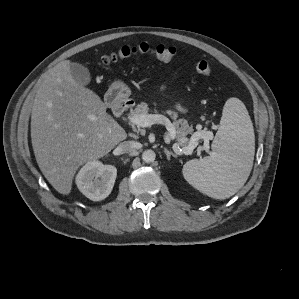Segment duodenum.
<instances>
[{"label":"duodenum","instance_id":"obj_1","mask_svg":"<svg viewBox=\"0 0 299 299\" xmlns=\"http://www.w3.org/2000/svg\"><path fill=\"white\" fill-rule=\"evenodd\" d=\"M130 107V103L128 100H120L115 103H113L112 108L114 111V114L117 116H120L123 114L126 110H128Z\"/></svg>","mask_w":299,"mask_h":299}]
</instances>
